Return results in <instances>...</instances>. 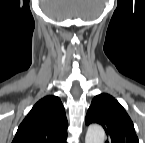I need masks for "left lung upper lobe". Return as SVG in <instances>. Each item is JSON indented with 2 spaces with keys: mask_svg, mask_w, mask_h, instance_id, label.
<instances>
[{
  "mask_svg": "<svg viewBox=\"0 0 145 143\" xmlns=\"http://www.w3.org/2000/svg\"><path fill=\"white\" fill-rule=\"evenodd\" d=\"M85 123L102 125L108 136L106 143H139L130 117L109 94H100L93 99Z\"/></svg>",
  "mask_w": 145,
  "mask_h": 143,
  "instance_id": "5c2ea615",
  "label": "left lung upper lobe"
}]
</instances>
